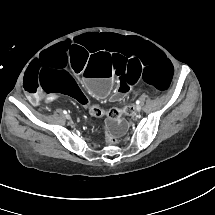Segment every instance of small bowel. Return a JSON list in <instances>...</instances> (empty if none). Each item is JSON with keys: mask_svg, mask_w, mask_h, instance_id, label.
Wrapping results in <instances>:
<instances>
[{"mask_svg": "<svg viewBox=\"0 0 215 215\" xmlns=\"http://www.w3.org/2000/svg\"><path fill=\"white\" fill-rule=\"evenodd\" d=\"M116 98L118 99V100H120L121 99V96L120 95H116ZM31 102L33 103V104H37L38 103V97L36 96V95H34L33 97H31ZM132 113H133V111H132Z\"/></svg>", "mask_w": 215, "mask_h": 215, "instance_id": "small-bowel-1", "label": "small bowel"}]
</instances>
